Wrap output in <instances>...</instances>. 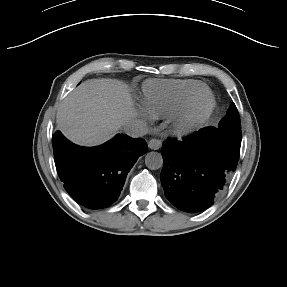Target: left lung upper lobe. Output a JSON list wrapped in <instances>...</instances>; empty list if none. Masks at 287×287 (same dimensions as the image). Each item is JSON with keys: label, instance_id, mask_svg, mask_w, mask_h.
I'll return each mask as SVG.
<instances>
[{"label": "left lung upper lobe", "instance_id": "5c2ea615", "mask_svg": "<svg viewBox=\"0 0 287 287\" xmlns=\"http://www.w3.org/2000/svg\"><path fill=\"white\" fill-rule=\"evenodd\" d=\"M219 129L232 133H241L240 117L234 103L231 104L226 115L221 119Z\"/></svg>", "mask_w": 287, "mask_h": 287}]
</instances>
